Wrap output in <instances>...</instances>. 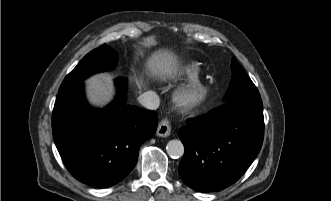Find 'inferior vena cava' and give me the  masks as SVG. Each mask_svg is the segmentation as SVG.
I'll list each match as a JSON object with an SVG mask.
<instances>
[{"label":"inferior vena cava","mask_w":331,"mask_h":201,"mask_svg":"<svg viewBox=\"0 0 331 201\" xmlns=\"http://www.w3.org/2000/svg\"><path fill=\"white\" fill-rule=\"evenodd\" d=\"M141 105L150 110H155L159 107L160 99L154 91H147L139 96Z\"/></svg>","instance_id":"1"}]
</instances>
